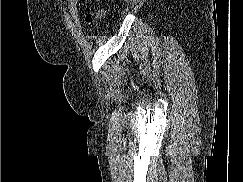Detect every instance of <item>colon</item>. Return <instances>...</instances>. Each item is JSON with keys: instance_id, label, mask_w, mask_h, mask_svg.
Masks as SVG:
<instances>
[{"instance_id": "5ec220e1", "label": "colon", "mask_w": 243, "mask_h": 182, "mask_svg": "<svg viewBox=\"0 0 243 182\" xmlns=\"http://www.w3.org/2000/svg\"><path fill=\"white\" fill-rule=\"evenodd\" d=\"M104 12L103 11H97V12H93L91 14H88L86 17V21L88 23H93L97 20H99L102 16H103Z\"/></svg>"}]
</instances>
